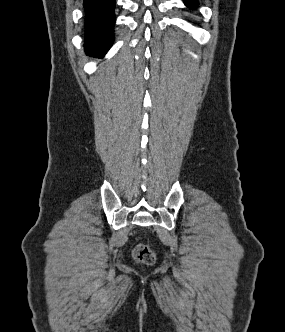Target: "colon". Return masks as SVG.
<instances>
[{"instance_id":"1","label":"colon","mask_w":285,"mask_h":332,"mask_svg":"<svg viewBox=\"0 0 285 332\" xmlns=\"http://www.w3.org/2000/svg\"><path fill=\"white\" fill-rule=\"evenodd\" d=\"M132 256L135 261L150 265L155 261V254L152 249L146 244H138L132 251Z\"/></svg>"}]
</instances>
